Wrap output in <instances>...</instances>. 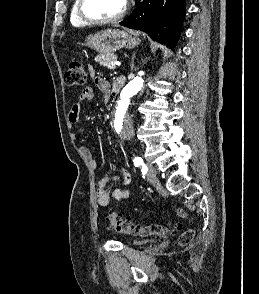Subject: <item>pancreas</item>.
Returning <instances> with one entry per match:
<instances>
[{
	"instance_id": "pancreas-1",
	"label": "pancreas",
	"mask_w": 259,
	"mask_h": 294,
	"mask_svg": "<svg viewBox=\"0 0 259 294\" xmlns=\"http://www.w3.org/2000/svg\"><path fill=\"white\" fill-rule=\"evenodd\" d=\"M117 56L114 54H100L95 57V61L101 66L107 67L108 69H113L111 62L115 61Z\"/></svg>"
}]
</instances>
